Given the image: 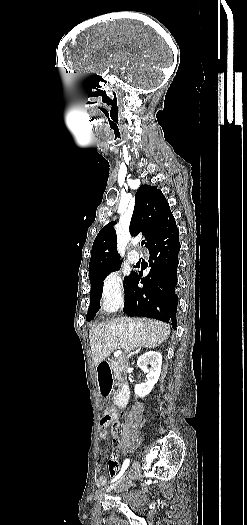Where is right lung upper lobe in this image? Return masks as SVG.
<instances>
[{
    "label": "right lung upper lobe",
    "mask_w": 247,
    "mask_h": 525,
    "mask_svg": "<svg viewBox=\"0 0 247 525\" xmlns=\"http://www.w3.org/2000/svg\"><path fill=\"white\" fill-rule=\"evenodd\" d=\"M115 222L105 225L96 236L89 264V275L120 268L117 253ZM175 225L169 204L155 186L142 185L136 192L135 207L130 224L131 235L142 233L146 244Z\"/></svg>",
    "instance_id": "cb5924a9"
}]
</instances>
